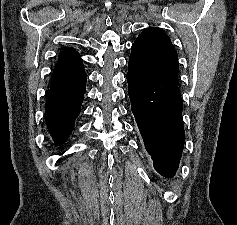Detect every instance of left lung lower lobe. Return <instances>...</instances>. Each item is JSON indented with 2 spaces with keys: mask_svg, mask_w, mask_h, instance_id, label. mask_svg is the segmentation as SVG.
I'll list each match as a JSON object with an SVG mask.
<instances>
[{
  "mask_svg": "<svg viewBox=\"0 0 237 225\" xmlns=\"http://www.w3.org/2000/svg\"><path fill=\"white\" fill-rule=\"evenodd\" d=\"M131 109L156 171L174 176L185 143L182 98L177 87H152L127 73Z\"/></svg>",
  "mask_w": 237,
  "mask_h": 225,
  "instance_id": "0a47b994",
  "label": "left lung lower lobe"
}]
</instances>
